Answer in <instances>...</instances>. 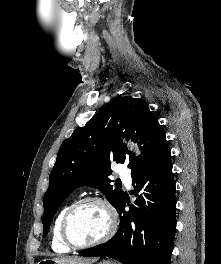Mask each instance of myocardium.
Here are the masks:
<instances>
[{
	"mask_svg": "<svg viewBox=\"0 0 221 264\" xmlns=\"http://www.w3.org/2000/svg\"><path fill=\"white\" fill-rule=\"evenodd\" d=\"M88 203L98 204L103 207V209L106 211L108 215V220H109L108 229L101 238L90 243L78 244L75 243L70 236L69 223L74 211L80 206ZM117 227H118V215L113 205L104 198L98 196H87L75 201L67 208L62 218L60 232H61V238L65 243V245H67L70 249L81 250V249H87V248L99 246L107 242L113 237V235L117 230Z\"/></svg>",
	"mask_w": 221,
	"mask_h": 264,
	"instance_id": "1",
	"label": "myocardium"
}]
</instances>
